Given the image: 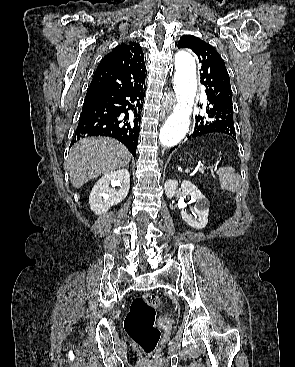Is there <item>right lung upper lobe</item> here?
<instances>
[{
  "instance_id": "right-lung-upper-lobe-1",
  "label": "right lung upper lobe",
  "mask_w": 295,
  "mask_h": 367,
  "mask_svg": "<svg viewBox=\"0 0 295 367\" xmlns=\"http://www.w3.org/2000/svg\"><path fill=\"white\" fill-rule=\"evenodd\" d=\"M144 54L136 42L120 44L98 65L88 91H121L145 84Z\"/></svg>"
}]
</instances>
